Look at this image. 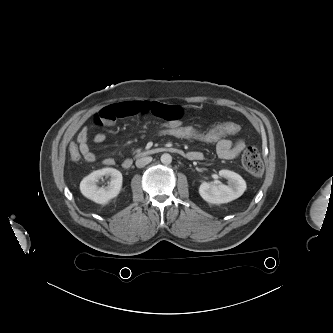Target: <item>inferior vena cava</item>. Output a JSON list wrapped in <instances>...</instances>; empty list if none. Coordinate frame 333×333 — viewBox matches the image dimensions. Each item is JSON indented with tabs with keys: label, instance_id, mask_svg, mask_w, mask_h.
<instances>
[{
	"label": "inferior vena cava",
	"instance_id": "inferior-vena-cava-1",
	"mask_svg": "<svg viewBox=\"0 0 333 333\" xmlns=\"http://www.w3.org/2000/svg\"><path fill=\"white\" fill-rule=\"evenodd\" d=\"M152 161V157H144L136 160V166L142 168Z\"/></svg>",
	"mask_w": 333,
	"mask_h": 333
}]
</instances>
